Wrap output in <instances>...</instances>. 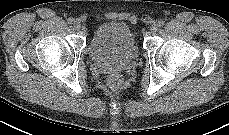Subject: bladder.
<instances>
[{"label": "bladder", "instance_id": "31cf9c89", "mask_svg": "<svg viewBox=\"0 0 229 135\" xmlns=\"http://www.w3.org/2000/svg\"><path fill=\"white\" fill-rule=\"evenodd\" d=\"M89 54L95 60L132 61L138 57L139 49L127 25L107 22L93 32L89 42Z\"/></svg>", "mask_w": 229, "mask_h": 135}]
</instances>
